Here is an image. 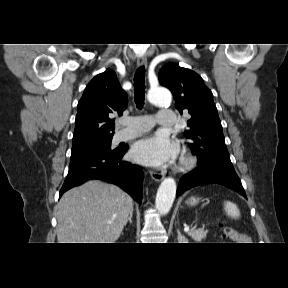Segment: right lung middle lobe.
Returning <instances> with one entry per match:
<instances>
[{"instance_id":"1","label":"right lung middle lobe","mask_w":288,"mask_h":288,"mask_svg":"<svg viewBox=\"0 0 288 288\" xmlns=\"http://www.w3.org/2000/svg\"><path fill=\"white\" fill-rule=\"evenodd\" d=\"M111 140L112 138H108L104 141H101L92 145L72 148L70 162L83 159L93 154L112 151Z\"/></svg>"}]
</instances>
